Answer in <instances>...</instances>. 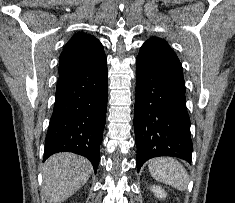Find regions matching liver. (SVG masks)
Listing matches in <instances>:
<instances>
[{
	"mask_svg": "<svg viewBox=\"0 0 235 203\" xmlns=\"http://www.w3.org/2000/svg\"><path fill=\"white\" fill-rule=\"evenodd\" d=\"M92 173L91 163L73 153L51 156L43 166V195L47 203H62L78 191Z\"/></svg>",
	"mask_w": 235,
	"mask_h": 203,
	"instance_id": "6515ba94",
	"label": "liver"
}]
</instances>
